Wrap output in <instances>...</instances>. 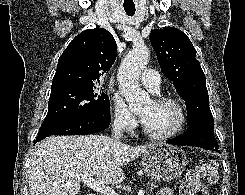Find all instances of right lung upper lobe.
<instances>
[{"mask_svg":"<svg viewBox=\"0 0 245 195\" xmlns=\"http://www.w3.org/2000/svg\"><path fill=\"white\" fill-rule=\"evenodd\" d=\"M117 46L103 28L87 29L77 35L58 59L51 92L95 86L115 62Z\"/></svg>","mask_w":245,"mask_h":195,"instance_id":"right-lung-upper-lobe-1","label":"right lung upper lobe"}]
</instances>
